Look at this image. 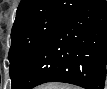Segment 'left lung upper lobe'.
Listing matches in <instances>:
<instances>
[{"instance_id":"left-lung-upper-lobe-1","label":"left lung upper lobe","mask_w":107,"mask_h":89,"mask_svg":"<svg viewBox=\"0 0 107 89\" xmlns=\"http://www.w3.org/2000/svg\"><path fill=\"white\" fill-rule=\"evenodd\" d=\"M87 0H21L11 32L10 78L14 86L45 41Z\"/></svg>"}]
</instances>
